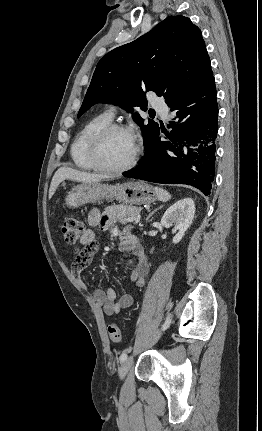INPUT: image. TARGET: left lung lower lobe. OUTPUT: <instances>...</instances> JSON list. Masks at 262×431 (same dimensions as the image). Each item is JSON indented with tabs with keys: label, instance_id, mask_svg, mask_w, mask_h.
Segmentation results:
<instances>
[{
	"label": "left lung lower lobe",
	"instance_id": "left-lung-lower-lobe-1",
	"mask_svg": "<svg viewBox=\"0 0 262 431\" xmlns=\"http://www.w3.org/2000/svg\"><path fill=\"white\" fill-rule=\"evenodd\" d=\"M167 140L160 129L145 147L138 166L123 176L163 183L186 184L211 193L215 175V139L218 130L217 91L214 77L181 102L170 104Z\"/></svg>",
	"mask_w": 262,
	"mask_h": 431
}]
</instances>
